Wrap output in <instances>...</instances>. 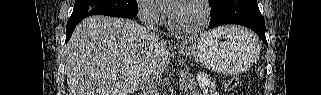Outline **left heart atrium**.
<instances>
[{
    "mask_svg": "<svg viewBox=\"0 0 321 95\" xmlns=\"http://www.w3.org/2000/svg\"><path fill=\"white\" fill-rule=\"evenodd\" d=\"M168 1H169V0H168ZM163 2H165V1H163ZM166 2H167V0H166ZM164 9H165V11L171 16V15L175 12L176 7L170 8V7H167V6H166Z\"/></svg>",
    "mask_w": 321,
    "mask_h": 95,
    "instance_id": "obj_1",
    "label": "left heart atrium"
}]
</instances>
